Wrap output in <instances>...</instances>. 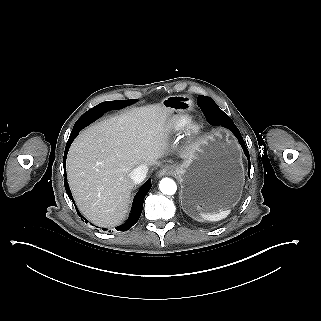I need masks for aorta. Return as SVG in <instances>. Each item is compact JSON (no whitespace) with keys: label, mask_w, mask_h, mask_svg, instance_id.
<instances>
[{"label":"aorta","mask_w":321,"mask_h":321,"mask_svg":"<svg viewBox=\"0 0 321 321\" xmlns=\"http://www.w3.org/2000/svg\"><path fill=\"white\" fill-rule=\"evenodd\" d=\"M160 191L165 195H173L177 190V185L170 178H163L159 183Z\"/></svg>","instance_id":"762f6f07"}]
</instances>
